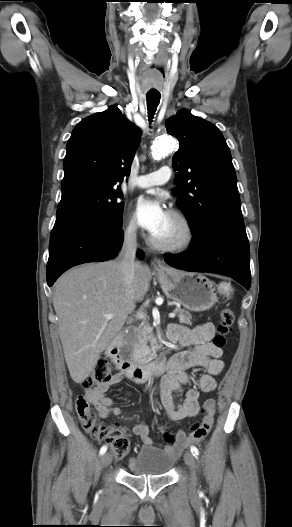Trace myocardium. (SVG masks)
Segmentation results:
<instances>
[{"mask_svg":"<svg viewBox=\"0 0 292 527\" xmlns=\"http://www.w3.org/2000/svg\"><path fill=\"white\" fill-rule=\"evenodd\" d=\"M168 215L179 224L181 228L180 236L170 242L157 240L153 236L149 237V243L157 250L165 252H182L187 250L194 242L195 231L190 219L181 211L170 210Z\"/></svg>","mask_w":292,"mask_h":527,"instance_id":"myocardium-1","label":"myocardium"}]
</instances>
